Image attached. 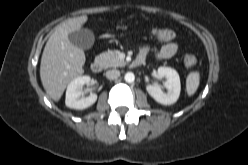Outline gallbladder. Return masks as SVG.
<instances>
[{"mask_svg": "<svg viewBox=\"0 0 248 165\" xmlns=\"http://www.w3.org/2000/svg\"><path fill=\"white\" fill-rule=\"evenodd\" d=\"M69 40L81 49H90L94 44V34L89 29H80L69 34Z\"/></svg>", "mask_w": 248, "mask_h": 165, "instance_id": "bac80fb5", "label": "gallbladder"}]
</instances>
